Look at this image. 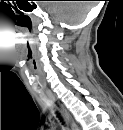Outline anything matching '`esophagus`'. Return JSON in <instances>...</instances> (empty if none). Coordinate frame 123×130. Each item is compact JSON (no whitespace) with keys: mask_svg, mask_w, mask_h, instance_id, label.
<instances>
[{"mask_svg":"<svg viewBox=\"0 0 123 130\" xmlns=\"http://www.w3.org/2000/svg\"><path fill=\"white\" fill-rule=\"evenodd\" d=\"M60 106H61L62 112L64 113L67 121L70 123L71 130H78V126H77L76 122L73 120L69 111L65 108V106L63 104H60Z\"/></svg>","mask_w":123,"mask_h":130,"instance_id":"obj_1","label":"esophagus"}]
</instances>
